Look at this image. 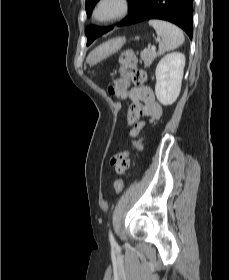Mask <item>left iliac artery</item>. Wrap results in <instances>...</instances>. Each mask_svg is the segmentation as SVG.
<instances>
[{"mask_svg": "<svg viewBox=\"0 0 229 280\" xmlns=\"http://www.w3.org/2000/svg\"><path fill=\"white\" fill-rule=\"evenodd\" d=\"M109 239H110V242H111L112 245H115V244H116L115 239H114V237H113L111 231L109 232Z\"/></svg>", "mask_w": 229, "mask_h": 280, "instance_id": "left-iliac-artery-1", "label": "left iliac artery"}]
</instances>
